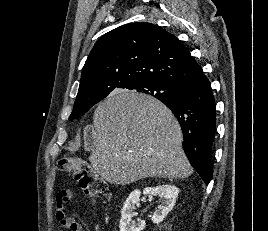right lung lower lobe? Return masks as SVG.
I'll return each instance as SVG.
<instances>
[{"label":"right lung lower lobe","mask_w":268,"mask_h":231,"mask_svg":"<svg viewBox=\"0 0 268 231\" xmlns=\"http://www.w3.org/2000/svg\"><path fill=\"white\" fill-rule=\"evenodd\" d=\"M177 94L160 99L173 112L183 132V149L194 169L208 184L212 177V146L216 131V106L205 75L177 87Z\"/></svg>","instance_id":"98d812e1"}]
</instances>
